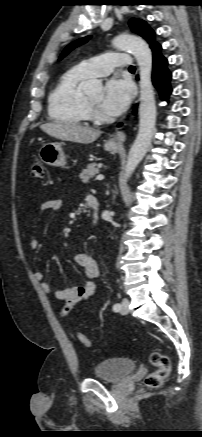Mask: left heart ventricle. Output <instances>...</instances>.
<instances>
[{
	"label": "left heart ventricle",
	"mask_w": 202,
	"mask_h": 437,
	"mask_svg": "<svg viewBox=\"0 0 202 437\" xmlns=\"http://www.w3.org/2000/svg\"><path fill=\"white\" fill-rule=\"evenodd\" d=\"M88 98H89L92 102H94V103H96L97 105H99V104L101 103L102 98H103V94H102V93L92 94V95H89Z\"/></svg>",
	"instance_id": "left-heart-ventricle-1"
}]
</instances>
